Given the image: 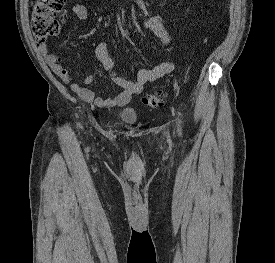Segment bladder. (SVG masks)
Masks as SVG:
<instances>
[{"label":"bladder","mask_w":275,"mask_h":263,"mask_svg":"<svg viewBox=\"0 0 275 263\" xmlns=\"http://www.w3.org/2000/svg\"><path fill=\"white\" fill-rule=\"evenodd\" d=\"M118 116H119V119L126 124H134L137 122L139 118L138 112L132 107H127L122 109L119 112Z\"/></svg>","instance_id":"31cf9c89"}]
</instances>
